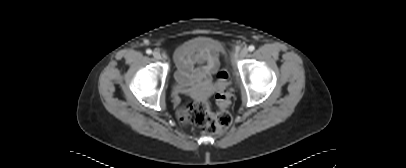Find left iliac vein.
Here are the masks:
<instances>
[{"label": "left iliac vein", "mask_w": 406, "mask_h": 168, "mask_svg": "<svg viewBox=\"0 0 406 168\" xmlns=\"http://www.w3.org/2000/svg\"><path fill=\"white\" fill-rule=\"evenodd\" d=\"M247 54H248V49H247V48H243V49L239 52L238 57H239V58H244V57L247 56Z\"/></svg>", "instance_id": "left-iliac-vein-1"}]
</instances>
